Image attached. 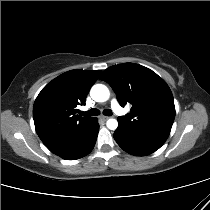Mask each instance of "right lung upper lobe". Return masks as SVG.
<instances>
[{"label":"right lung upper lobe","instance_id":"obj_1","mask_svg":"<svg viewBox=\"0 0 210 210\" xmlns=\"http://www.w3.org/2000/svg\"><path fill=\"white\" fill-rule=\"evenodd\" d=\"M100 73V70L68 71L48 83L37 96L33 107L35 129L50 151L93 123L94 117L77 115L76 107L85 104Z\"/></svg>","mask_w":210,"mask_h":210}]
</instances>
